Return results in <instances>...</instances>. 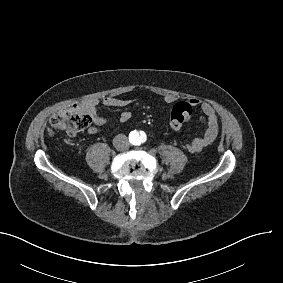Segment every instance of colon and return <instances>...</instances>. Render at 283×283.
Masks as SVG:
<instances>
[{
    "mask_svg": "<svg viewBox=\"0 0 283 283\" xmlns=\"http://www.w3.org/2000/svg\"><path fill=\"white\" fill-rule=\"evenodd\" d=\"M190 113L191 107L187 103H175L170 112L169 127L172 130L179 129L182 123L190 121ZM89 124L88 115L78 111L77 105H72L53 113L48 132L53 135L56 132L64 131L70 136H75L86 130Z\"/></svg>",
    "mask_w": 283,
    "mask_h": 283,
    "instance_id": "1",
    "label": "colon"
}]
</instances>
